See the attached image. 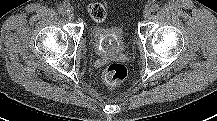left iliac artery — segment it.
<instances>
[{"mask_svg": "<svg viewBox=\"0 0 217 121\" xmlns=\"http://www.w3.org/2000/svg\"><path fill=\"white\" fill-rule=\"evenodd\" d=\"M159 10V5L158 4H153L152 6H151V11L152 12H156V11H158Z\"/></svg>", "mask_w": 217, "mask_h": 121, "instance_id": "left-iliac-artery-1", "label": "left iliac artery"}]
</instances>
